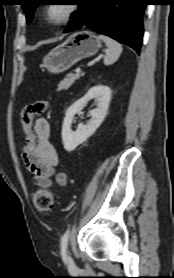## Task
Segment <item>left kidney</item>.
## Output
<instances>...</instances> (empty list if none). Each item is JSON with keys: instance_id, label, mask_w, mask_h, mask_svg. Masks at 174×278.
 <instances>
[{"instance_id": "1", "label": "left kidney", "mask_w": 174, "mask_h": 278, "mask_svg": "<svg viewBox=\"0 0 174 278\" xmlns=\"http://www.w3.org/2000/svg\"><path fill=\"white\" fill-rule=\"evenodd\" d=\"M91 99L97 101V108L89 112L91 116L90 121L86 125L79 124L76 131H72L71 124L74 116L81 112ZM110 99V88L104 85H97L92 87L81 99L74 102L67 109L62 125V141L66 151H73L94 134L107 114Z\"/></svg>"}]
</instances>
